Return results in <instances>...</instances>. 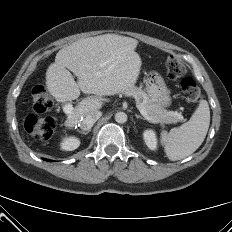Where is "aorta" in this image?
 I'll list each match as a JSON object with an SVG mask.
<instances>
[{
  "mask_svg": "<svg viewBox=\"0 0 232 232\" xmlns=\"http://www.w3.org/2000/svg\"><path fill=\"white\" fill-rule=\"evenodd\" d=\"M128 117H127V114L125 112H117L115 114V121L117 123H125L127 121Z\"/></svg>",
  "mask_w": 232,
  "mask_h": 232,
  "instance_id": "obj_1",
  "label": "aorta"
}]
</instances>
